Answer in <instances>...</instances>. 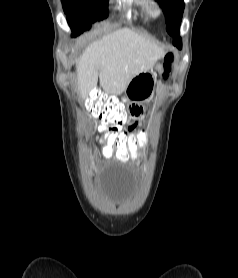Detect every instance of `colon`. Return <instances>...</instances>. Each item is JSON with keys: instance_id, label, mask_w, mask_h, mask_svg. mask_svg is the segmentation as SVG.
<instances>
[{"instance_id": "5ec220e1", "label": "colon", "mask_w": 238, "mask_h": 278, "mask_svg": "<svg viewBox=\"0 0 238 278\" xmlns=\"http://www.w3.org/2000/svg\"><path fill=\"white\" fill-rule=\"evenodd\" d=\"M173 54H167L164 63L163 77L167 78L171 70ZM86 108L90 114L102 122L96 128L93 135L97 141L100 159H118L119 162H142V157H137L139 149L144 142H151V137H145L146 130H137L136 137L128 136V131H122L121 126L128 117L124 104L116 97L110 96L102 91L94 90L86 100Z\"/></svg>"}]
</instances>
